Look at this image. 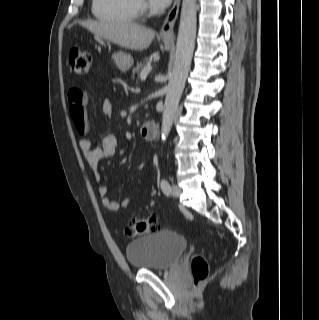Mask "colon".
I'll return each instance as SVG.
<instances>
[{"instance_id":"1","label":"colon","mask_w":319,"mask_h":320,"mask_svg":"<svg viewBox=\"0 0 319 320\" xmlns=\"http://www.w3.org/2000/svg\"><path fill=\"white\" fill-rule=\"evenodd\" d=\"M92 54L79 48H72L68 56V65L70 71L78 76L87 75L92 65ZM77 132L83 135L86 131L80 125L76 127ZM159 217L156 213L151 214L147 218H134L126 229V233L130 238L138 237L144 233L153 232L158 229ZM191 272L194 282L200 283L209 273V265L206 259L200 255L193 258L191 262Z\"/></svg>"}]
</instances>
